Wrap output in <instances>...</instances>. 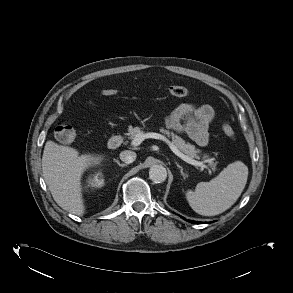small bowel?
Returning a JSON list of instances; mask_svg holds the SVG:
<instances>
[{
    "mask_svg": "<svg viewBox=\"0 0 293 293\" xmlns=\"http://www.w3.org/2000/svg\"><path fill=\"white\" fill-rule=\"evenodd\" d=\"M214 117V109L209 104L183 103L172 111L165 124L169 129L185 134L197 145L206 146L210 139L209 126Z\"/></svg>",
    "mask_w": 293,
    "mask_h": 293,
    "instance_id": "1",
    "label": "small bowel"
}]
</instances>
